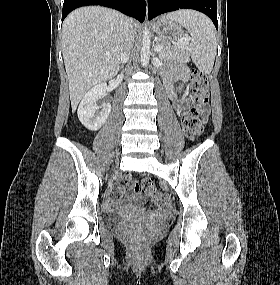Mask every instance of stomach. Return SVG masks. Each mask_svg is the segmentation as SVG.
Listing matches in <instances>:
<instances>
[{
  "mask_svg": "<svg viewBox=\"0 0 280 285\" xmlns=\"http://www.w3.org/2000/svg\"><path fill=\"white\" fill-rule=\"evenodd\" d=\"M152 27L159 38L170 42L181 40L185 36L183 26L167 17H160L153 23Z\"/></svg>",
  "mask_w": 280,
  "mask_h": 285,
  "instance_id": "0dacf381",
  "label": "stomach"
}]
</instances>
